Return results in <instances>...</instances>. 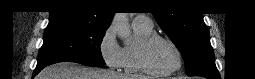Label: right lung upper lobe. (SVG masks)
<instances>
[{"label":"right lung upper lobe","instance_id":"1","mask_svg":"<svg viewBox=\"0 0 255 79\" xmlns=\"http://www.w3.org/2000/svg\"><path fill=\"white\" fill-rule=\"evenodd\" d=\"M56 10L50 12V22H66L108 28L114 12L103 10L107 7L99 0H64L57 2Z\"/></svg>","mask_w":255,"mask_h":79}]
</instances>
